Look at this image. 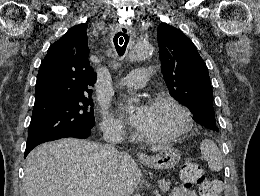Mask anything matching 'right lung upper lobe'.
<instances>
[{"instance_id":"cb5924a9","label":"right lung upper lobe","mask_w":260,"mask_h":196,"mask_svg":"<svg viewBox=\"0 0 260 196\" xmlns=\"http://www.w3.org/2000/svg\"><path fill=\"white\" fill-rule=\"evenodd\" d=\"M86 30V23L76 25L50 46L38 72L35 105L57 96L92 92L89 87L94 86L96 73L88 59Z\"/></svg>"}]
</instances>
